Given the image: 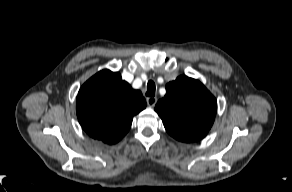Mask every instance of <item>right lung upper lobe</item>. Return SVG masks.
<instances>
[{"mask_svg":"<svg viewBox=\"0 0 292 192\" xmlns=\"http://www.w3.org/2000/svg\"><path fill=\"white\" fill-rule=\"evenodd\" d=\"M146 107L139 90L122 80L118 72L102 70L83 84L76 98L78 120L86 133L114 144L129 131L133 116Z\"/></svg>","mask_w":292,"mask_h":192,"instance_id":"right-lung-upper-lobe-1","label":"right lung upper lobe"}]
</instances>
